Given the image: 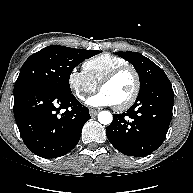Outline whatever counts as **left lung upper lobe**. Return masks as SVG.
Wrapping results in <instances>:
<instances>
[{
  "label": "left lung upper lobe",
  "mask_w": 193,
  "mask_h": 193,
  "mask_svg": "<svg viewBox=\"0 0 193 193\" xmlns=\"http://www.w3.org/2000/svg\"><path fill=\"white\" fill-rule=\"evenodd\" d=\"M116 54L129 61L136 69L140 79V91L138 95L147 91L160 79L167 77L161 68L140 53L116 52Z\"/></svg>",
  "instance_id": "obj_1"
}]
</instances>
